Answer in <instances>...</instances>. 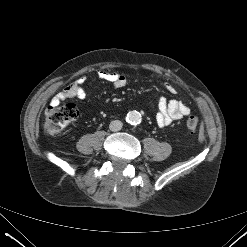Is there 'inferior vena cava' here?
<instances>
[{"label": "inferior vena cava", "mask_w": 247, "mask_h": 247, "mask_svg": "<svg viewBox=\"0 0 247 247\" xmlns=\"http://www.w3.org/2000/svg\"><path fill=\"white\" fill-rule=\"evenodd\" d=\"M122 122L120 120L111 121L109 128L111 131L117 132L122 129Z\"/></svg>", "instance_id": "602c4592"}]
</instances>
